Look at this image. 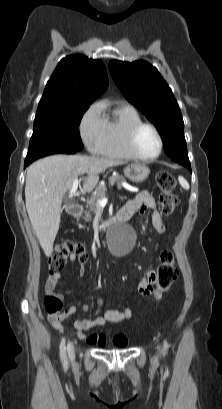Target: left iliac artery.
Listing matches in <instances>:
<instances>
[{"mask_svg": "<svg viewBox=\"0 0 222 409\" xmlns=\"http://www.w3.org/2000/svg\"><path fill=\"white\" fill-rule=\"evenodd\" d=\"M168 347H169V345H168L167 341L165 340L164 341V351L165 352L167 351Z\"/></svg>", "mask_w": 222, "mask_h": 409, "instance_id": "1", "label": "left iliac artery"}]
</instances>
